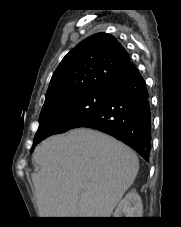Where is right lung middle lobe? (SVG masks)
I'll return each mask as SVG.
<instances>
[{"instance_id": "dd1d6c3e", "label": "right lung middle lobe", "mask_w": 181, "mask_h": 227, "mask_svg": "<svg viewBox=\"0 0 181 227\" xmlns=\"http://www.w3.org/2000/svg\"><path fill=\"white\" fill-rule=\"evenodd\" d=\"M109 96V88L64 98L41 110L34 147L45 138L80 127L102 109Z\"/></svg>"}]
</instances>
